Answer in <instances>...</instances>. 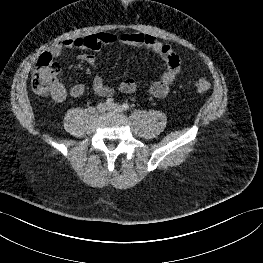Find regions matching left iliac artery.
<instances>
[{"mask_svg": "<svg viewBox=\"0 0 263 263\" xmlns=\"http://www.w3.org/2000/svg\"><path fill=\"white\" fill-rule=\"evenodd\" d=\"M122 109L125 110V111L128 110L129 109V105L127 103H124L122 105Z\"/></svg>", "mask_w": 263, "mask_h": 263, "instance_id": "left-iliac-artery-1", "label": "left iliac artery"}]
</instances>
